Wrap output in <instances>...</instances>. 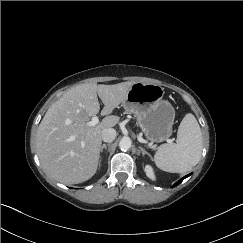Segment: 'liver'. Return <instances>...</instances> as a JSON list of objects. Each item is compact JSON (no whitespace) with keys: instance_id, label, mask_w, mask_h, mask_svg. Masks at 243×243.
Wrapping results in <instances>:
<instances>
[{"instance_id":"liver-1","label":"liver","mask_w":243,"mask_h":243,"mask_svg":"<svg viewBox=\"0 0 243 243\" xmlns=\"http://www.w3.org/2000/svg\"><path fill=\"white\" fill-rule=\"evenodd\" d=\"M132 84H81L66 91L47 110L36 135L37 153L47 174L64 184H79L96 173L102 131L119 122V117L111 113L123 102ZM98 96L105 117L89 126L90 118L100 111Z\"/></svg>"}]
</instances>
